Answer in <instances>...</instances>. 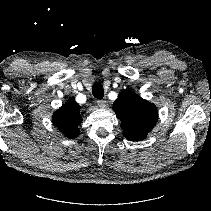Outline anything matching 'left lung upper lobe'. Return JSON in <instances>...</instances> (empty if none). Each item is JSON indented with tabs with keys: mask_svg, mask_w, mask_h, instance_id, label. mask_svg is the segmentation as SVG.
Here are the masks:
<instances>
[{
	"mask_svg": "<svg viewBox=\"0 0 211 211\" xmlns=\"http://www.w3.org/2000/svg\"><path fill=\"white\" fill-rule=\"evenodd\" d=\"M113 110L121 120L125 138L140 141L153 129L158 119L157 108L131 91L120 92Z\"/></svg>",
	"mask_w": 211,
	"mask_h": 211,
	"instance_id": "obj_1",
	"label": "left lung upper lobe"
}]
</instances>
